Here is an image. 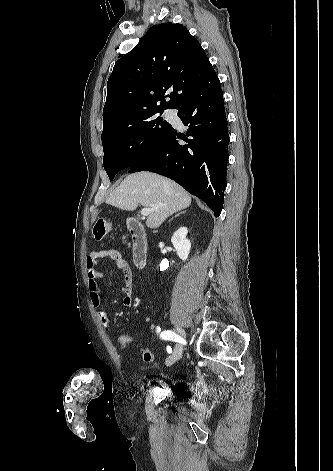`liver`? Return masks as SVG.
<instances>
[{"mask_svg":"<svg viewBox=\"0 0 333 471\" xmlns=\"http://www.w3.org/2000/svg\"><path fill=\"white\" fill-rule=\"evenodd\" d=\"M105 202L126 211H134L138 205L154 209L146 226L155 229L172 214L190 206L191 196L170 179L151 172H139L127 176Z\"/></svg>","mask_w":333,"mask_h":471,"instance_id":"6515ba94","label":"liver"}]
</instances>
